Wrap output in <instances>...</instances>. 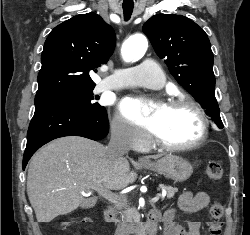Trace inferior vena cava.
<instances>
[{
	"instance_id": "inferior-vena-cava-1",
	"label": "inferior vena cava",
	"mask_w": 250,
	"mask_h": 235,
	"mask_svg": "<svg viewBox=\"0 0 250 235\" xmlns=\"http://www.w3.org/2000/svg\"><path fill=\"white\" fill-rule=\"evenodd\" d=\"M129 151V130L121 122L115 123L111 127V138L108 146L105 148V159L109 163H115L123 160L124 155ZM117 235H130V228L123 223Z\"/></svg>"
}]
</instances>
